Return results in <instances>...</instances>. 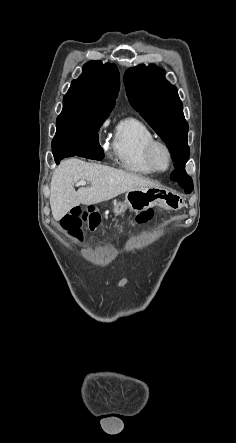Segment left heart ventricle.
Segmentation results:
<instances>
[{
	"label": "left heart ventricle",
	"instance_id": "left-heart-ventricle-1",
	"mask_svg": "<svg viewBox=\"0 0 236 443\" xmlns=\"http://www.w3.org/2000/svg\"><path fill=\"white\" fill-rule=\"evenodd\" d=\"M155 159H156L157 166L160 169H165L167 167L168 157H167V153L165 152L164 149L157 148V150L155 152Z\"/></svg>",
	"mask_w": 236,
	"mask_h": 443
}]
</instances>
